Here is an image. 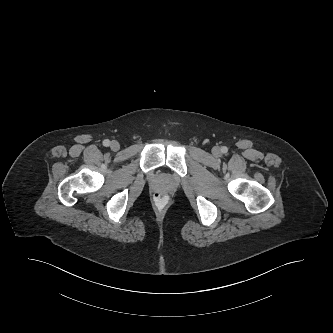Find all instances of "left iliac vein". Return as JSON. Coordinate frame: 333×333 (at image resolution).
Segmentation results:
<instances>
[{"label":"left iliac vein","mask_w":333,"mask_h":333,"mask_svg":"<svg viewBox=\"0 0 333 333\" xmlns=\"http://www.w3.org/2000/svg\"><path fill=\"white\" fill-rule=\"evenodd\" d=\"M213 154H214L215 156H219V155L221 154V150H220V148H219V147H214V148H213Z\"/></svg>","instance_id":"1"}]
</instances>
